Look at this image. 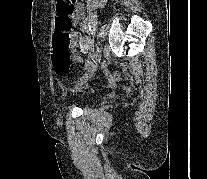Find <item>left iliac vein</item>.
Masks as SVG:
<instances>
[{
    "label": "left iliac vein",
    "instance_id": "4c4485c4",
    "mask_svg": "<svg viewBox=\"0 0 207 179\" xmlns=\"http://www.w3.org/2000/svg\"><path fill=\"white\" fill-rule=\"evenodd\" d=\"M102 49V46H99L98 51L96 52V57L94 60L93 64H90L88 66V68L86 69L85 74L83 75V77L78 81L76 87H75V91L77 92L90 78L91 76L94 74V72L96 71L99 62L103 59V56L100 54Z\"/></svg>",
    "mask_w": 207,
    "mask_h": 179
}]
</instances>
